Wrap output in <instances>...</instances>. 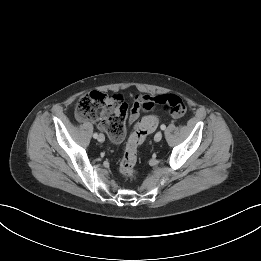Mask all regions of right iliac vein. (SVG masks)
Segmentation results:
<instances>
[{
    "instance_id": "63e3f726",
    "label": "right iliac vein",
    "mask_w": 261,
    "mask_h": 261,
    "mask_svg": "<svg viewBox=\"0 0 261 261\" xmlns=\"http://www.w3.org/2000/svg\"><path fill=\"white\" fill-rule=\"evenodd\" d=\"M99 142H104L105 141V136L103 134H99V136L97 137Z\"/></svg>"
}]
</instances>
